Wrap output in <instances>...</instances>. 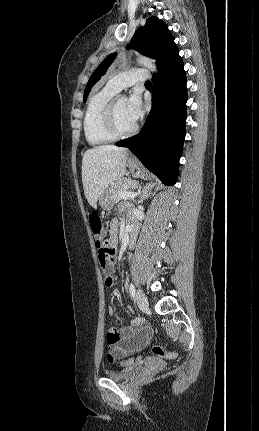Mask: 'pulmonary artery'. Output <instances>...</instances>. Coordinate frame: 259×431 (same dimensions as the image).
I'll use <instances>...</instances> for the list:
<instances>
[{"label": "pulmonary artery", "instance_id": "pulmonary-artery-1", "mask_svg": "<svg viewBox=\"0 0 259 431\" xmlns=\"http://www.w3.org/2000/svg\"><path fill=\"white\" fill-rule=\"evenodd\" d=\"M148 78V72L145 69H130L113 75L107 81V86L118 92L125 87L131 86L137 82H145Z\"/></svg>", "mask_w": 259, "mask_h": 431}]
</instances>
